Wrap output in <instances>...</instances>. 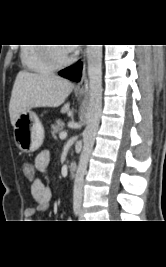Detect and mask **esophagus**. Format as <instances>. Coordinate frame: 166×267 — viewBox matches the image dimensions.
Returning <instances> with one entry per match:
<instances>
[{"instance_id": "obj_1", "label": "esophagus", "mask_w": 166, "mask_h": 267, "mask_svg": "<svg viewBox=\"0 0 166 267\" xmlns=\"http://www.w3.org/2000/svg\"><path fill=\"white\" fill-rule=\"evenodd\" d=\"M76 89L79 91H85L87 89V77L86 74L83 73L81 80L78 82Z\"/></svg>"}]
</instances>
